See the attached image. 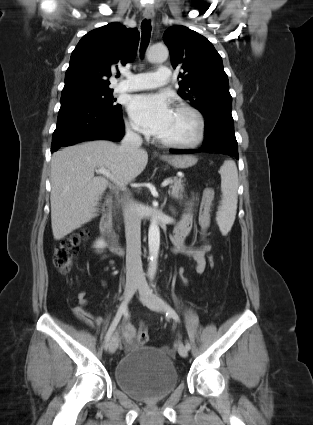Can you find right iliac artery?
I'll list each match as a JSON object with an SVG mask.
<instances>
[{"instance_id":"82829eb1","label":"right iliac artery","mask_w":313,"mask_h":425,"mask_svg":"<svg viewBox=\"0 0 313 425\" xmlns=\"http://www.w3.org/2000/svg\"><path fill=\"white\" fill-rule=\"evenodd\" d=\"M126 310H127V302H123L120 305V307H119V309H118V311L116 313V316H115L114 320L112 321V323H111V325H110V327H109V329H108V331L106 333L105 344H104V348L105 349L108 348L110 338H111L113 332L115 331L118 323L120 322V320L122 318V315L125 314Z\"/></svg>"}]
</instances>
